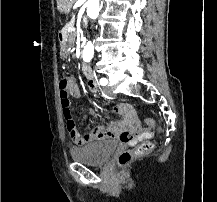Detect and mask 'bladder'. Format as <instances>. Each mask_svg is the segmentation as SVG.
Masks as SVG:
<instances>
[{
	"label": "bladder",
	"instance_id": "bladder-1",
	"mask_svg": "<svg viewBox=\"0 0 217 202\" xmlns=\"http://www.w3.org/2000/svg\"><path fill=\"white\" fill-rule=\"evenodd\" d=\"M118 143L105 140L91 143L81 149H72L71 157L84 164H102L117 150Z\"/></svg>",
	"mask_w": 217,
	"mask_h": 202
}]
</instances>
